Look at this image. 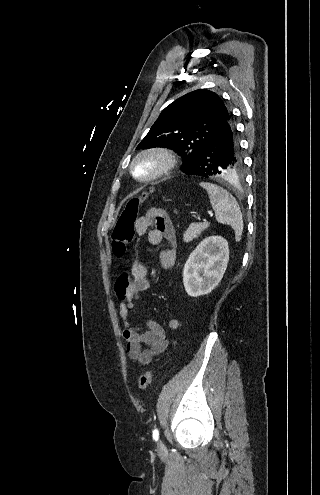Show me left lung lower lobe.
Returning <instances> with one entry per match:
<instances>
[{"label":"left lung lower lobe","instance_id":"1","mask_svg":"<svg viewBox=\"0 0 320 495\" xmlns=\"http://www.w3.org/2000/svg\"><path fill=\"white\" fill-rule=\"evenodd\" d=\"M241 160L239 143L230 117L198 153L193 164L182 171L187 175L208 178L219 177L229 169V176H233L238 173V164Z\"/></svg>","mask_w":320,"mask_h":495}]
</instances>
